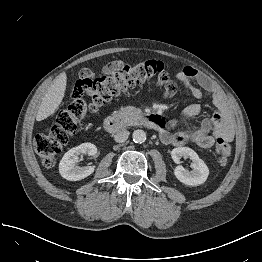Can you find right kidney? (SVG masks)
<instances>
[{"mask_svg": "<svg viewBox=\"0 0 262 262\" xmlns=\"http://www.w3.org/2000/svg\"><path fill=\"white\" fill-rule=\"evenodd\" d=\"M97 148L92 143H83L66 152L59 163V172L63 178L69 181H78L86 178L94 172L93 166L80 167L77 165L80 154L95 155Z\"/></svg>", "mask_w": 262, "mask_h": 262, "instance_id": "obj_1", "label": "right kidney"}]
</instances>
